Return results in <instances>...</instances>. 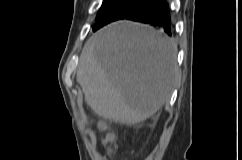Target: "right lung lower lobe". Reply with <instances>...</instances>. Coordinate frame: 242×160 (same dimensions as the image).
<instances>
[{
	"label": "right lung lower lobe",
	"instance_id": "obj_1",
	"mask_svg": "<svg viewBox=\"0 0 242 160\" xmlns=\"http://www.w3.org/2000/svg\"><path fill=\"white\" fill-rule=\"evenodd\" d=\"M125 18L160 27L168 35L172 34L168 3L166 0H148L131 11Z\"/></svg>",
	"mask_w": 242,
	"mask_h": 160
}]
</instances>
